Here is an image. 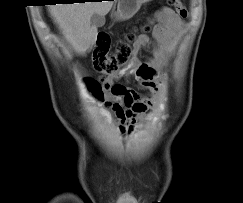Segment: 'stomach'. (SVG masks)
Returning a JSON list of instances; mask_svg holds the SVG:
<instances>
[{
  "label": "stomach",
  "mask_w": 243,
  "mask_h": 203,
  "mask_svg": "<svg viewBox=\"0 0 243 203\" xmlns=\"http://www.w3.org/2000/svg\"><path fill=\"white\" fill-rule=\"evenodd\" d=\"M151 0H117L112 16L116 20H128L140 9L141 5Z\"/></svg>",
  "instance_id": "0dacf381"
}]
</instances>
